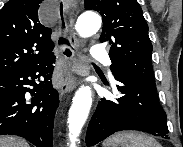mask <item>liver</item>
I'll use <instances>...</instances> for the list:
<instances>
[{"label": "liver", "instance_id": "liver-1", "mask_svg": "<svg viewBox=\"0 0 183 147\" xmlns=\"http://www.w3.org/2000/svg\"><path fill=\"white\" fill-rule=\"evenodd\" d=\"M0 147H29V145L24 140L10 136H2L0 137Z\"/></svg>", "mask_w": 183, "mask_h": 147}]
</instances>
